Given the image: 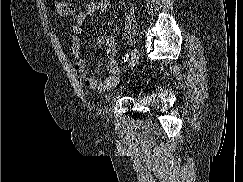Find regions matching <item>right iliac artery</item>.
Segmentation results:
<instances>
[{"label":"right iliac artery","mask_w":243,"mask_h":182,"mask_svg":"<svg viewBox=\"0 0 243 182\" xmlns=\"http://www.w3.org/2000/svg\"><path fill=\"white\" fill-rule=\"evenodd\" d=\"M128 57H129V54L127 53L125 56H124V62H126L128 60Z\"/></svg>","instance_id":"82829eb1"}]
</instances>
